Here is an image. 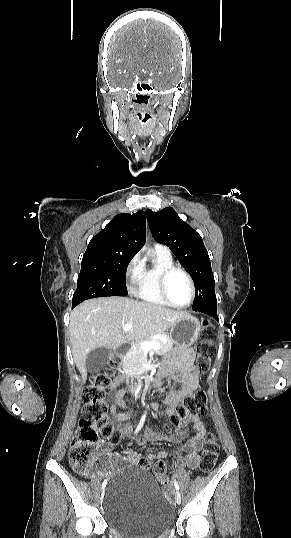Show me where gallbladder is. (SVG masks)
I'll use <instances>...</instances> for the list:
<instances>
[{
  "mask_svg": "<svg viewBox=\"0 0 291 538\" xmlns=\"http://www.w3.org/2000/svg\"><path fill=\"white\" fill-rule=\"evenodd\" d=\"M111 352L107 348L93 349L86 358V370L90 373L101 371L107 364Z\"/></svg>",
  "mask_w": 291,
  "mask_h": 538,
  "instance_id": "bac80fb5",
  "label": "gallbladder"
}]
</instances>
